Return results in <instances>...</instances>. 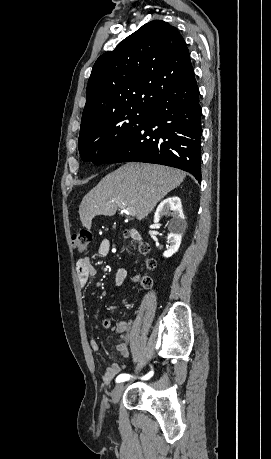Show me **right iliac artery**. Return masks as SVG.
I'll return each mask as SVG.
<instances>
[{"mask_svg": "<svg viewBox=\"0 0 271 459\" xmlns=\"http://www.w3.org/2000/svg\"><path fill=\"white\" fill-rule=\"evenodd\" d=\"M153 366V365H152ZM130 375L129 374H120L117 378H116V382L119 383V382H124L126 380H129L130 379Z\"/></svg>", "mask_w": 271, "mask_h": 459, "instance_id": "right-iliac-artery-1", "label": "right iliac artery"}]
</instances>
